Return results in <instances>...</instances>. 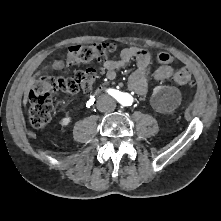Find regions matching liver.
<instances>
[{"label": "liver", "instance_id": "liver-1", "mask_svg": "<svg viewBox=\"0 0 221 221\" xmlns=\"http://www.w3.org/2000/svg\"><path fill=\"white\" fill-rule=\"evenodd\" d=\"M39 74H40V72H37L34 75V77L29 81V83L27 85V88H26V91H25V95H24V99H23V104L24 105H26L27 101H28V97H27L28 91L33 88V85H34V82H35V77L38 76Z\"/></svg>", "mask_w": 221, "mask_h": 221}]
</instances>
